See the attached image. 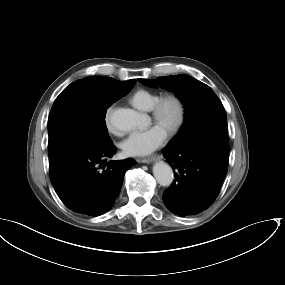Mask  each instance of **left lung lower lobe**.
<instances>
[{"instance_id":"0a47b994","label":"left lung lower lobe","mask_w":285,"mask_h":285,"mask_svg":"<svg viewBox=\"0 0 285 285\" xmlns=\"http://www.w3.org/2000/svg\"><path fill=\"white\" fill-rule=\"evenodd\" d=\"M228 143L201 141L181 149L162 150L175 180L163 201L174 214L185 217L207 209L217 197L227 174Z\"/></svg>"}]
</instances>
